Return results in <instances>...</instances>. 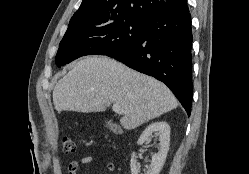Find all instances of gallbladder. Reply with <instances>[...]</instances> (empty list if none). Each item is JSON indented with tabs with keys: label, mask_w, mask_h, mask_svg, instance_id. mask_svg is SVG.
Segmentation results:
<instances>
[{
	"label": "gallbladder",
	"mask_w": 249,
	"mask_h": 174,
	"mask_svg": "<svg viewBox=\"0 0 249 174\" xmlns=\"http://www.w3.org/2000/svg\"><path fill=\"white\" fill-rule=\"evenodd\" d=\"M106 125L111 129V130H114V131H117L119 130V126L112 123V121H106Z\"/></svg>",
	"instance_id": "bac80fb5"
}]
</instances>
